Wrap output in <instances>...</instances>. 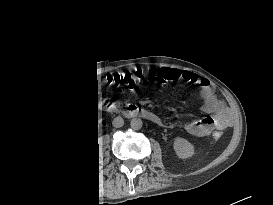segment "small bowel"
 Returning a JSON list of instances; mask_svg holds the SVG:
<instances>
[{
    "instance_id": "c3829d8e",
    "label": "small bowel",
    "mask_w": 273,
    "mask_h": 205,
    "mask_svg": "<svg viewBox=\"0 0 273 205\" xmlns=\"http://www.w3.org/2000/svg\"><path fill=\"white\" fill-rule=\"evenodd\" d=\"M163 76H166L168 80H182L193 83L200 88V97L203 103L202 110L208 113L209 116L186 122L184 128L190 135L203 137L219 132L230 125L232 113L225 103L218 99L209 80L195 73L177 68H156L151 73V77L155 80Z\"/></svg>"
}]
</instances>
